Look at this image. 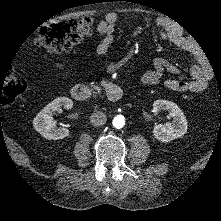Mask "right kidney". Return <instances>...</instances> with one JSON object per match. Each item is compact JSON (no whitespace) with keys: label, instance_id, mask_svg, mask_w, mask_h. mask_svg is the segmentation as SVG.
Masks as SVG:
<instances>
[{"label":"right kidney","instance_id":"obj_1","mask_svg":"<svg viewBox=\"0 0 221 221\" xmlns=\"http://www.w3.org/2000/svg\"><path fill=\"white\" fill-rule=\"evenodd\" d=\"M60 107L71 110L73 101L67 96L57 97L35 116L33 126L43 137L57 140L69 135V129L57 127V121L53 119V113L58 112Z\"/></svg>","mask_w":221,"mask_h":221}]
</instances>
